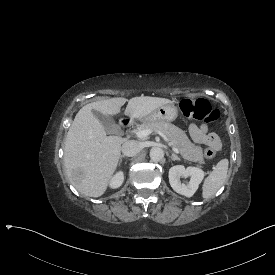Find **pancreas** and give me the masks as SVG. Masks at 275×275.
<instances>
[{
  "label": "pancreas",
  "instance_id": "pancreas-1",
  "mask_svg": "<svg viewBox=\"0 0 275 275\" xmlns=\"http://www.w3.org/2000/svg\"><path fill=\"white\" fill-rule=\"evenodd\" d=\"M138 130H151L165 134L172 142L173 147L181 152L183 158L200 164L206 163L203 156V149L192 144L185 133L172 124L165 122H146L141 125Z\"/></svg>",
  "mask_w": 275,
  "mask_h": 275
}]
</instances>
